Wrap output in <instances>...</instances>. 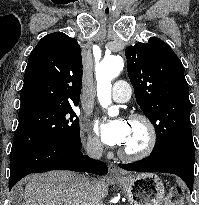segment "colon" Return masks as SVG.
I'll use <instances>...</instances> for the list:
<instances>
[{
  "mask_svg": "<svg viewBox=\"0 0 199 205\" xmlns=\"http://www.w3.org/2000/svg\"><path fill=\"white\" fill-rule=\"evenodd\" d=\"M163 205H182V192L178 187H172Z\"/></svg>",
  "mask_w": 199,
  "mask_h": 205,
  "instance_id": "obj_1",
  "label": "colon"
}]
</instances>
